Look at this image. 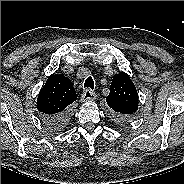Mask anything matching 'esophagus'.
I'll use <instances>...</instances> for the list:
<instances>
[{"label": "esophagus", "instance_id": "1", "mask_svg": "<svg viewBox=\"0 0 184 184\" xmlns=\"http://www.w3.org/2000/svg\"><path fill=\"white\" fill-rule=\"evenodd\" d=\"M96 99V93L91 91L90 89H86L82 96H81V101H91Z\"/></svg>", "mask_w": 184, "mask_h": 184}]
</instances>
